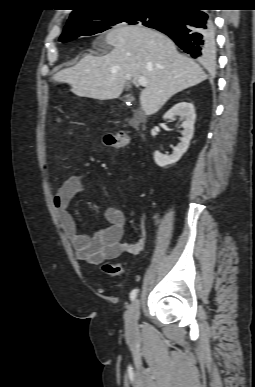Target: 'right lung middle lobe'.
<instances>
[{"instance_id":"obj_1","label":"right lung middle lobe","mask_w":255,"mask_h":387,"mask_svg":"<svg viewBox=\"0 0 255 387\" xmlns=\"http://www.w3.org/2000/svg\"><path fill=\"white\" fill-rule=\"evenodd\" d=\"M170 8L155 6H121L67 22L59 41L67 42L101 33L126 24L156 28L164 24Z\"/></svg>"}]
</instances>
